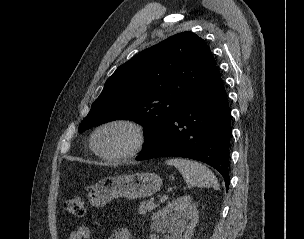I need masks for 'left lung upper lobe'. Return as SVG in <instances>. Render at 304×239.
<instances>
[{"label":"left lung upper lobe","instance_id":"1","mask_svg":"<svg viewBox=\"0 0 304 239\" xmlns=\"http://www.w3.org/2000/svg\"><path fill=\"white\" fill-rule=\"evenodd\" d=\"M214 68L215 60L202 38L192 32L173 35L117 68L79 132L115 118L130 119L143 125L148 146Z\"/></svg>","mask_w":304,"mask_h":239}]
</instances>
